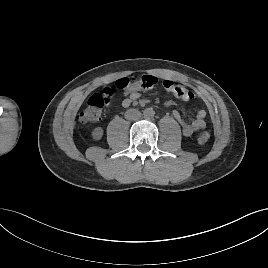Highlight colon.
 Wrapping results in <instances>:
<instances>
[{"instance_id": "colon-1", "label": "colon", "mask_w": 268, "mask_h": 268, "mask_svg": "<svg viewBox=\"0 0 268 268\" xmlns=\"http://www.w3.org/2000/svg\"><path fill=\"white\" fill-rule=\"evenodd\" d=\"M158 79L152 75H143L131 78H121L116 81L115 86L117 89L124 91L148 90L156 86ZM164 90L173 94L175 97L184 101L194 100V93L179 84L171 80H164L162 82ZM113 90L110 87H106L101 93H95L87 101L85 109L80 114V120L83 123H96L101 119L103 108L109 103L112 97ZM210 135L208 132H202L198 135L197 141L199 144H205L208 142Z\"/></svg>"}]
</instances>
